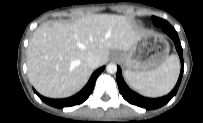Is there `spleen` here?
<instances>
[{
  "instance_id": "1",
  "label": "spleen",
  "mask_w": 203,
  "mask_h": 123,
  "mask_svg": "<svg viewBox=\"0 0 203 123\" xmlns=\"http://www.w3.org/2000/svg\"><path fill=\"white\" fill-rule=\"evenodd\" d=\"M180 71L179 59L169 56L159 67L146 72L125 71L124 76L129 85L147 97H160L169 93L174 87Z\"/></svg>"
}]
</instances>
